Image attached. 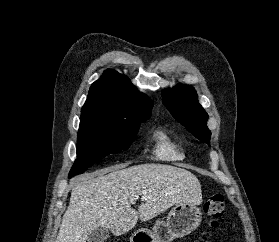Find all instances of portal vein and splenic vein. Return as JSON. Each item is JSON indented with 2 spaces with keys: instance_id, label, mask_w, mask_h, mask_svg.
I'll use <instances>...</instances> for the list:
<instances>
[{
  "instance_id": "1",
  "label": "portal vein and splenic vein",
  "mask_w": 279,
  "mask_h": 242,
  "mask_svg": "<svg viewBox=\"0 0 279 242\" xmlns=\"http://www.w3.org/2000/svg\"><path fill=\"white\" fill-rule=\"evenodd\" d=\"M146 198H147L146 196H142V197H141L142 200H144V199H146ZM138 199H139V196H136V197L134 198V200H138Z\"/></svg>"
}]
</instances>
